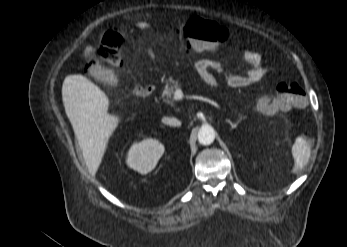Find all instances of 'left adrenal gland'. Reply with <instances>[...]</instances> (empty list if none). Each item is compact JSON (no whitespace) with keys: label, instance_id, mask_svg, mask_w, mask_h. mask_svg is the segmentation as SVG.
I'll return each mask as SVG.
<instances>
[{"label":"left adrenal gland","instance_id":"left-adrenal-gland-1","mask_svg":"<svg viewBox=\"0 0 347 247\" xmlns=\"http://www.w3.org/2000/svg\"><path fill=\"white\" fill-rule=\"evenodd\" d=\"M242 117H240L235 123H233L230 119H226V122L230 124V126L232 127V129H235L238 124L241 122Z\"/></svg>","mask_w":347,"mask_h":247}]
</instances>
